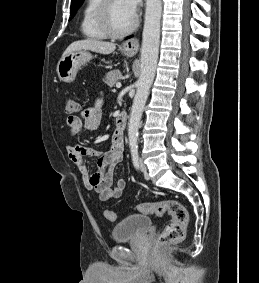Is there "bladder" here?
Wrapping results in <instances>:
<instances>
[{"label":"bladder","mask_w":259,"mask_h":283,"mask_svg":"<svg viewBox=\"0 0 259 283\" xmlns=\"http://www.w3.org/2000/svg\"><path fill=\"white\" fill-rule=\"evenodd\" d=\"M152 226V220L146 215L133 214L117 223L112 229V238L121 242L138 237Z\"/></svg>","instance_id":"1"}]
</instances>
